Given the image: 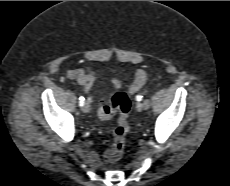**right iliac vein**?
<instances>
[{"instance_id":"obj_1","label":"right iliac vein","mask_w":230,"mask_h":186,"mask_svg":"<svg viewBox=\"0 0 230 186\" xmlns=\"http://www.w3.org/2000/svg\"><path fill=\"white\" fill-rule=\"evenodd\" d=\"M82 110H83L84 113H88L90 111L89 102L84 103V105L82 106Z\"/></svg>"}]
</instances>
